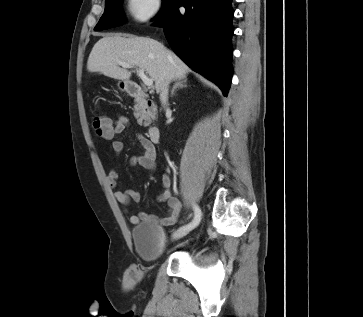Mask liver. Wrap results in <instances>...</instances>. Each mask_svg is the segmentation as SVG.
Returning a JSON list of instances; mask_svg holds the SVG:
<instances>
[{
	"mask_svg": "<svg viewBox=\"0 0 363 317\" xmlns=\"http://www.w3.org/2000/svg\"><path fill=\"white\" fill-rule=\"evenodd\" d=\"M120 62L144 69L155 82L157 92H160L167 77L180 79L190 71L175 53L160 42L147 37H123L121 34L107 35L97 41L89 55L87 70L127 81L131 72L120 68Z\"/></svg>",
	"mask_w": 363,
	"mask_h": 317,
	"instance_id": "obj_1",
	"label": "liver"
}]
</instances>
